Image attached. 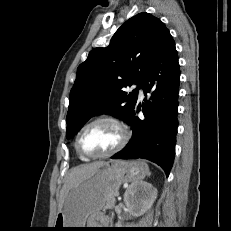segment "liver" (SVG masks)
Returning <instances> with one entry per match:
<instances>
[{
    "instance_id": "liver-1",
    "label": "liver",
    "mask_w": 231,
    "mask_h": 231,
    "mask_svg": "<svg viewBox=\"0 0 231 231\" xmlns=\"http://www.w3.org/2000/svg\"><path fill=\"white\" fill-rule=\"evenodd\" d=\"M107 163L103 161L92 162L90 164H82L72 168L66 177V181L60 191L59 211L62 208L63 202L68 192L79 182L92 176L97 170L105 166Z\"/></svg>"
}]
</instances>
